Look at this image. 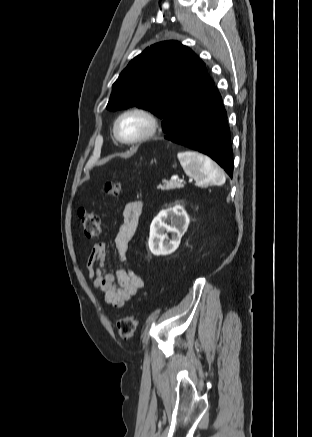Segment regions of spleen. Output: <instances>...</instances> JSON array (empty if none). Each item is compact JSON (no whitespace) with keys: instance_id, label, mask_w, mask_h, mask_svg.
<instances>
[{"instance_id":"obj_1","label":"spleen","mask_w":312,"mask_h":437,"mask_svg":"<svg viewBox=\"0 0 312 437\" xmlns=\"http://www.w3.org/2000/svg\"><path fill=\"white\" fill-rule=\"evenodd\" d=\"M177 156L185 173L196 183L217 186L225 183L224 172L208 156L193 151L180 152Z\"/></svg>"}]
</instances>
